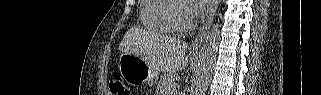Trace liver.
Here are the masks:
<instances>
[{"mask_svg":"<svg viewBox=\"0 0 321 95\" xmlns=\"http://www.w3.org/2000/svg\"><path fill=\"white\" fill-rule=\"evenodd\" d=\"M150 37L149 32L131 28L122 39L119 50L123 53L141 55L152 68L164 73H174L186 67L188 57L185 55V42L171 36H159L155 37L154 45L148 51L147 40Z\"/></svg>","mask_w":321,"mask_h":95,"instance_id":"obj_1","label":"liver"}]
</instances>
